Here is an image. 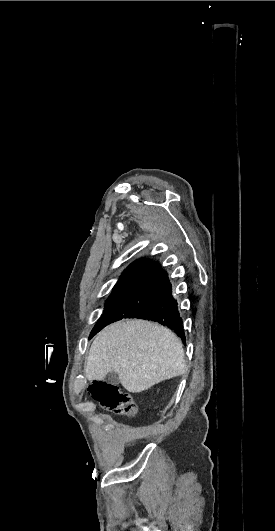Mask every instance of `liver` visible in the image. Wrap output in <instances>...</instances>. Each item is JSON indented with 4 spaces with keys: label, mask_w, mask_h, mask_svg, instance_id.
Masks as SVG:
<instances>
[{
    "label": "liver",
    "mask_w": 275,
    "mask_h": 531,
    "mask_svg": "<svg viewBox=\"0 0 275 531\" xmlns=\"http://www.w3.org/2000/svg\"><path fill=\"white\" fill-rule=\"evenodd\" d=\"M117 373L129 393L147 391L185 373L182 343L170 329L149 321H119L94 339L85 367L88 381Z\"/></svg>",
    "instance_id": "6515ba94"
}]
</instances>
